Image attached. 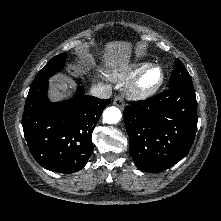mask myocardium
<instances>
[{
  "mask_svg": "<svg viewBox=\"0 0 221 221\" xmlns=\"http://www.w3.org/2000/svg\"><path fill=\"white\" fill-rule=\"evenodd\" d=\"M152 70L159 71V77L154 83H147L146 76ZM165 72L163 68L156 64H149L140 70L130 81L128 94L132 97L147 98L155 94L164 84Z\"/></svg>",
  "mask_w": 221,
  "mask_h": 221,
  "instance_id": "f54148a6",
  "label": "myocardium"
}]
</instances>
